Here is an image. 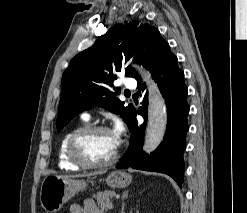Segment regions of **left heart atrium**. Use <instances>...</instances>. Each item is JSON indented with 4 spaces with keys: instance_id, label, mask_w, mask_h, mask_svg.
Returning <instances> with one entry per match:
<instances>
[{
    "instance_id": "obj_1",
    "label": "left heart atrium",
    "mask_w": 247,
    "mask_h": 213,
    "mask_svg": "<svg viewBox=\"0 0 247 213\" xmlns=\"http://www.w3.org/2000/svg\"><path fill=\"white\" fill-rule=\"evenodd\" d=\"M110 132L115 140L116 145L118 146L121 141L122 134H123L122 124L120 122H116L114 125V128Z\"/></svg>"
}]
</instances>
